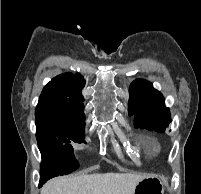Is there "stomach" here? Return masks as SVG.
Here are the masks:
<instances>
[{
	"mask_svg": "<svg viewBox=\"0 0 201 194\" xmlns=\"http://www.w3.org/2000/svg\"><path fill=\"white\" fill-rule=\"evenodd\" d=\"M164 187L156 175H145L135 186L133 194H163Z\"/></svg>",
	"mask_w": 201,
	"mask_h": 194,
	"instance_id": "obj_1",
	"label": "stomach"
}]
</instances>
